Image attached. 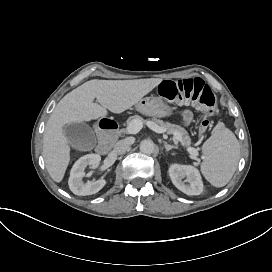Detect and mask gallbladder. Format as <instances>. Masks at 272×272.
<instances>
[{"label": "gallbladder", "mask_w": 272, "mask_h": 272, "mask_svg": "<svg viewBox=\"0 0 272 272\" xmlns=\"http://www.w3.org/2000/svg\"><path fill=\"white\" fill-rule=\"evenodd\" d=\"M68 143L76 149H92L97 143L92 128L84 123H69L63 128Z\"/></svg>", "instance_id": "bac80fb5"}]
</instances>
